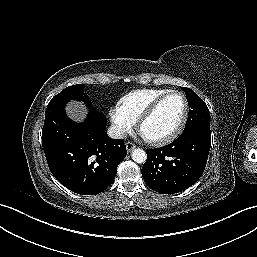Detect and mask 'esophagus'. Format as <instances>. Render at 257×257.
Instances as JSON below:
<instances>
[{
	"label": "esophagus",
	"instance_id": "esophagus-1",
	"mask_svg": "<svg viewBox=\"0 0 257 257\" xmlns=\"http://www.w3.org/2000/svg\"><path fill=\"white\" fill-rule=\"evenodd\" d=\"M125 145H126V149L128 152H130L131 150H133L136 147V145L130 141L126 142Z\"/></svg>",
	"mask_w": 257,
	"mask_h": 257
}]
</instances>
